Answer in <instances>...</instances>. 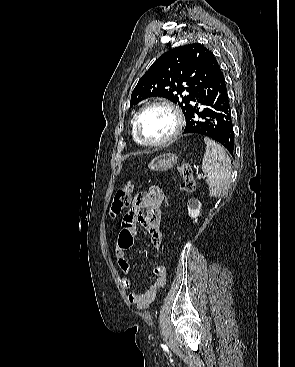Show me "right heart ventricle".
<instances>
[{"label":"right heart ventricle","mask_w":295,"mask_h":367,"mask_svg":"<svg viewBox=\"0 0 295 367\" xmlns=\"http://www.w3.org/2000/svg\"><path fill=\"white\" fill-rule=\"evenodd\" d=\"M134 118H135V116L132 118V120H131V125H132V137H133V139L137 142V143H139V141L137 140V138H136V136H135V133H134Z\"/></svg>","instance_id":"1"}]
</instances>
